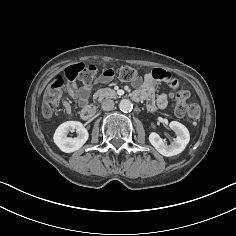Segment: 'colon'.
Segmentation results:
<instances>
[{"label": "colon", "mask_w": 236, "mask_h": 236, "mask_svg": "<svg viewBox=\"0 0 236 236\" xmlns=\"http://www.w3.org/2000/svg\"><path fill=\"white\" fill-rule=\"evenodd\" d=\"M97 68L93 64H76L68 67L63 72L59 73L51 82L48 91L45 96V103L43 105V115L46 118H50L59 102V91L66 85L71 84L70 87H75L73 84L76 81H82L84 83H90L96 73ZM114 69H108L103 72V76L110 78L115 75ZM118 76L124 81L136 80L138 77L137 71L128 65L122 66L118 70ZM169 78L166 83L170 84ZM173 97L176 101L175 112L178 116H188L193 125H196L200 118V108L197 104H190L187 102L189 92L183 89H175L173 91Z\"/></svg>", "instance_id": "colon-1"}]
</instances>
